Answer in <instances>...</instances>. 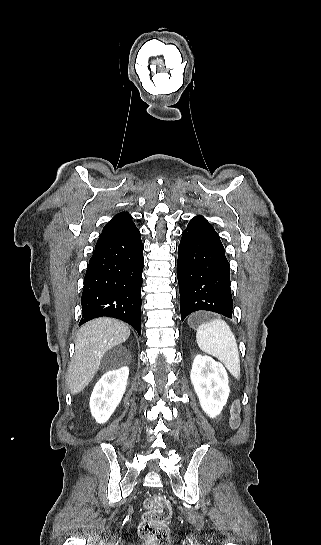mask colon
Segmentation results:
<instances>
[{"mask_svg": "<svg viewBox=\"0 0 321 545\" xmlns=\"http://www.w3.org/2000/svg\"><path fill=\"white\" fill-rule=\"evenodd\" d=\"M239 410L240 404L236 403L232 409L234 426L238 424ZM171 513V506L164 496L153 495L146 500L139 532L147 543L150 545H166L169 534L166 522Z\"/></svg>", "mask_w": 321, "mask_h": 545, "instance_id": "1", "label": "colon"}]
</instances>
